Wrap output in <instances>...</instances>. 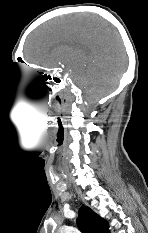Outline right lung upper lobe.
Returning a JSON list of instances; mask_svg holds the SVG:
<instances>
[{
  "instance_id": "right-lung-upper-lobe-1",
  "label": "right lung upper lobe",
  "mask_w": 148,
  "mask_h": 233,
  "mask_svg": "<svg viewBox=\"0 0 148 233\" xmlns=\"http://www.w3.org/2000/svg\"><path fill=\"white\" fill-rule=\"evenodd\" d=\"M77 225L82 233H110L108 222L88 206L80 208Z\"/></svg>"
}]
</instances>
